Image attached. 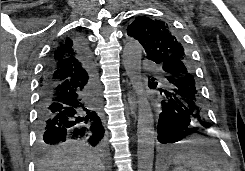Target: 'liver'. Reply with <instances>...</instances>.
<instances>
[{"label":"liver","instance_id":"1","mask_svg":"<svg viewBox=\"0 0 245 171\" xmlns=\"http://www.w3.org/2000/svg\"><path fill=\"white\" fill-rule=\"evenodd\" d=\"M38 171H104L100 157L79 147L65 146L41 159Z\"/></svg>","mask_w":245,"mask_h":171}]
</instances>
